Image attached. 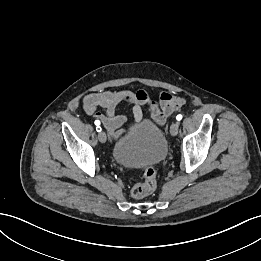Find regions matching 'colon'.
Returning <instances> with one entry per match:
<instances>
[{
    "instance_id": "colon-1",
    "label": "colon",
    "mask_w": 261,
    "mask_h": 261,
    "mask_svg": "<svg viewBox=\"0 0 261 261\" xmlns=\"http://www.w3.org/2000/svg\"><path fill=\"white\" fill-rule=\"evenodd\" d=\"M157 187V173L156 170L151 167H145L143 169V181L135 184L131 189V196L135 199L143 198L155 191Z\"/></svg>"
}]
</instances>
